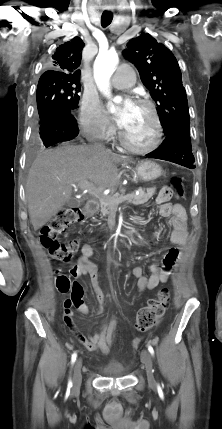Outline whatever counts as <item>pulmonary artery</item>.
Listing matches in <instances>:
<instances>
[{"label":"pulmonary artery","instance_id":"e3ab8cb5","mask_svg":"<svg viewBox=\"0 0 222 429\" xmlns=\"http://www.w3.org/2000/svg\"><path fill=\"white\" fill-rule=\"evenodd\" d=\"M111 81L112 85L119 89L131 87L135 81L134 69L128 64L119 66Z\"/></svg>","mask_w":222,"mask_h":429}]
</instances>
